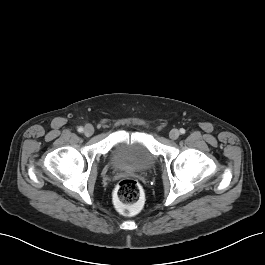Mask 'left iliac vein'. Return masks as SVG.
<instances>
[{
  "mask_svg": "<svg viewBox=\"0 0 265 265\" xmlns=\"http://www.w3.org/2000/svg\"><path fill=\"white\" fill-rule=\"evenodd\" d=\"M179 136H180V132H179V130H177V129H172V130L169 132V137H170V139H172V140H176Z\"/></svg>",
  "mask_w": 265,
  "mask_h": 265,
  "instance_id": "left-iliac-vein-1",
  "label": "left iliac vein"
}]
</instances>
